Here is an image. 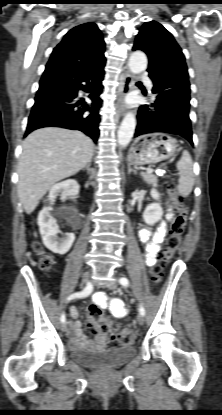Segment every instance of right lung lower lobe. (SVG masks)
Returning <instances> with one entry per match:
<instances>
[{
  "instance_id": "obj_1",
  "label": "right lung lower lobe",
  "mask_w": 222,
  "mask_h": 415,
  "mask_svg": "<svg viewBox=\"0 0 222 415\" xmlns=\"http://www.w3.org/2000/svg\"><path fill=\"white\" fill-rule=\"evenodd\" d=\"M104 66L88 70L47 65L40 80L25 136L42 127L77 129L97 142L102 104ZM79 90L89 92L91 106L77 100Z\"/></svg>"
}]
</instances>
